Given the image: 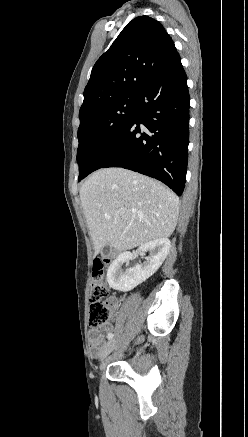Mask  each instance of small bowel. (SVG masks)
I'll return each instance as SVG.
<instances>
[{
    "label": "small bowel",
    "mask_w": 248,
    "mask_h": 437,
    "mask_svg": "<svg viewBox=\"0 0 248 437\" xmlns=\"http://www.w3.org/2000/svg\"><path fill=\"white\" fill-rule=\"evenodd\" d=\"M113 303H115V300H113ZM104 330L109 333H112V326L111 325H105ZM89 339H90V346L93 350L95 355H99L102 351L103 347V336L101 335L100 331L97 329H93L89 333Z\"/></svg>",
    "instance_id": "c3829d8e"
}]
</instances>
